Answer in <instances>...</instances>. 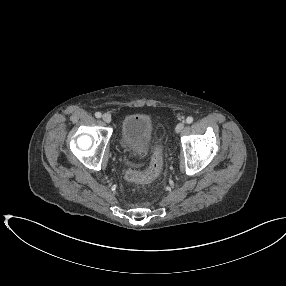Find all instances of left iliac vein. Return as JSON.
I'll return each instance as SVG.
<instances>
[{"instance_id": "1", "label": "left iliac vein", "mask_w": 286, "mask_h": 286, "mask_svg": "<svg viewBox=\"0 0 286 286\" xmlns=\"http://www.w3.org/2000/svg\"><path fill=\"white\" fill-rule=\"evenodd\" d=\"M184 126L185 124L183 121L179 122L175 128L176 133H180L184 129Z\"/></svg>"}]
</instances>
